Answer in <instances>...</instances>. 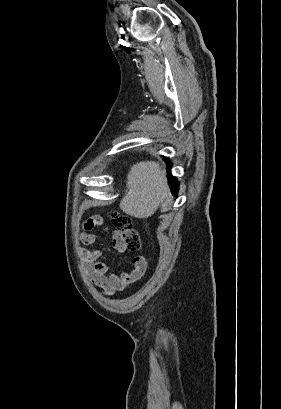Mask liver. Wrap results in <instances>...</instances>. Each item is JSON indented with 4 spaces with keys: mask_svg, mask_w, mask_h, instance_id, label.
<instances>
[{
    "mask_svg": "<svg viewBox=\"0 0 281 409\" xmlns=\"http://www.w3.org/2000/svg\"><path fill=\"white\" fill-rule=\"evenodd\" d=\"M127 188L120 200V209L130 217L148 219L169 194L165 170L158 162L143 160L131 166L127 174Z\"/></svg>",
    "mask_w": 281,
    "mask_h": 409,
    "instance_id": "6515ba94",
    "label": "liver"
}]
</instances>
